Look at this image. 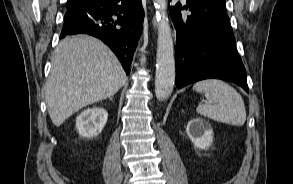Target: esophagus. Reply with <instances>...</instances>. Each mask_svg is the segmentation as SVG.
Returning <instances> with one entry per match:
<instances>
[{"mask_svg": "<svg viewBox=\"0 0 293 184\" xmlns=\"http://www.w3.org/2000/svg\"><path fill=\"white\" fill-rule=\"evenodd\" d=\"M152 24H153L154 28L157 27V19H156L155 16H154L153 19H152Z\"/></svg>", "mask_w": 293, "mask_h": 184, "instance_id": "esophagus-1", "label": "esophagus"}]
</instances>
